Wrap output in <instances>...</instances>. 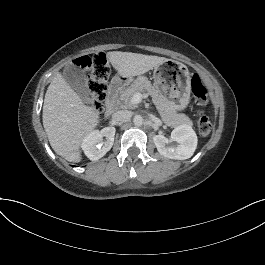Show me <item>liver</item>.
<instances>
[{"label": "liver", "instance_id": "obj_1", "mask_svg": "<svg viewBox=\"0 0 265 265\" xmlns=\"http://www.w3.org/2000/svg\"><path fill=\"white\" fill-rule=\"evenodd\" d=\"M106 56L124 77L142 75L167 61L165 57L121 51L107 52ZM42 117L53 150L67 161L79 162L81 142L99 123V111L86 106L57 73L46 91Z\"/></svg>", "mask_w": 265, "mask_h": 265}]
</instances>
